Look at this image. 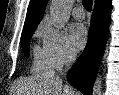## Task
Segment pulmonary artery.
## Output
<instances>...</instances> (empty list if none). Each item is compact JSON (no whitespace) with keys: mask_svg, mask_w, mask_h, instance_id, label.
<instances>
[{"mask_svg":"<svg viewBox=\"0 0 119 95\" xmlns=\"http://www.w3.org/2000/svg\"><path fill=\"white\" fill-rule=\"evenodd\" d=\"M73 17L78 20H83L85 18V12L82 7L77 6L73 9Z\"/></svg>","mask_w":119,"mask_h":95,"instance_id":"e3ab8cb5","label":"pulmonary artery"}]
</instances>
